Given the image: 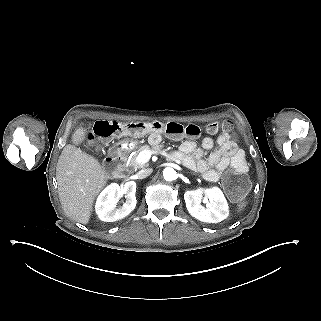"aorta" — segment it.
<instances>
[{
	"label": "aorta",
	"instance_id": "aorta-1",
	"mask_svg": "<svg viewBox=\"0 0 321 321\" xmlns=\"http://www.w3.org/2000/svg\"><path fill=\"white\" fill-rule=\"evenodd\" d=\"M163 176L166 181H172L176 178V172L174 171L173 168L166 167L163 170Z\"/></svg>",
	"mask_w": 321,
	"mask_h": 321
}]
</instances>
